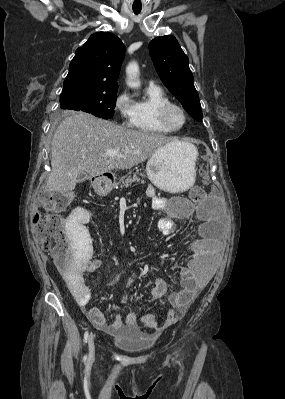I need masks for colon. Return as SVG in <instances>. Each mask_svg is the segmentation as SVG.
Wrapping results in <instances>:
<instances>
[{"label": "colon", "instance_id": "5ec220e1", "mask_svg": "<svg viewBox=\"0 0 285 399\" xmlns=\"http://www.w3.org/2000/svg\"><path fill=\"white\" fill-rule=\"evenodd\" d=\"M206 195L203 187L195 185L190 189L189 196L192 200H200ZM49 205L62 207L66 200L60 197H49ZM82 226L83 239L78 246V252L83 259H89L92 255V244L87 224L80 220ZM30 230L37 240L40 249L48 253L56 262L57 268L63 274L80 277V270L71 263V253L67 242L65 223L63 219L54 213H36L31 221ZM179 313L174 310L168 312V318L177 319ZM141 322L146 328L160 326L156 316L152 313H146L141 317Z\"/></svg>", "mask_w": 285, "mask_h": 399}]
</instances>
